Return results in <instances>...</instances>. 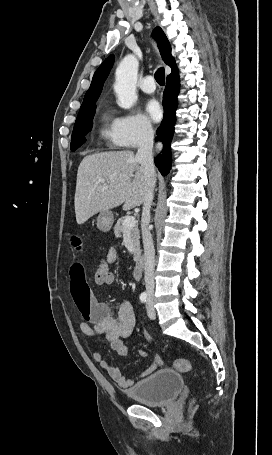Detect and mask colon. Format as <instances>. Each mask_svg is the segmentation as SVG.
<instances>
[{
	"label": "colon",
	"instance_id": "5ec220e1",
	"mask_svg": "<svg viewBox=\"0 0 272 455\" xmlns=\"http://www.w3.org/2000/svg\"><path fill=\"white\" fill-rule=\"evenodd\" d=\"M114 276L110 270V264L106 257L100 259L93 267V281L98 286L110 284ZM174 367L181 372H189L192 370V363L185 359H176Z\"/></svg>",
	"mask_w": 272,
	"mask_h": 455
}]
</instances>
